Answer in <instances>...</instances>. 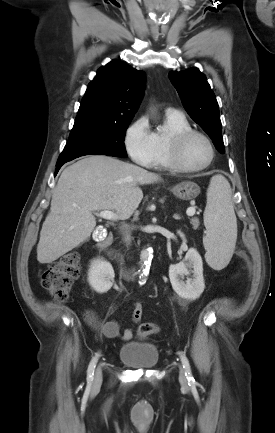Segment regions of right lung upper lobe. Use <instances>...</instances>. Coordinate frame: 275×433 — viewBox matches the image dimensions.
<instances>
[{"instance_id":"right-lung-upper-lobe-1","label":"right lung upper lobe","mask_w":275,"mask_h":433,"mask_svg":"<svg viewBox=\"0 0 275 433\" xmlns=\"http://www.w3.org/2000/svg\"><path fill=\"white\" fill-rule=\"evenodd\" d=\"M145 73L113 60L88 85L76 121L132 119L144 93Z\"/></svg>"}]
</instances>
